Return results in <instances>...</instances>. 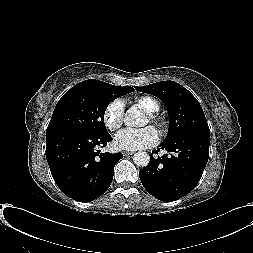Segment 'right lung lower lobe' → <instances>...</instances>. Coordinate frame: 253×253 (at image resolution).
<instances>
[{"label":"right lung lower lobe","instance_id":"98d812e1","mask_svg":"<svg viewBox=\"0 0 253 253\" xmlns=\"http://www.w3.org/2000/svg\"><path fill=\"white\" fill-rule=\"evenodd\" d=\"M112 141L107 133L65 130L46 135V158L54 181L70 198L89 202L109 188L121 153H100Z\"/></svg>","mask_w":253,"mask_h":253}]
</instances>
